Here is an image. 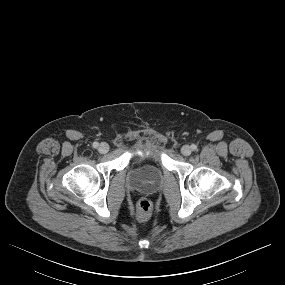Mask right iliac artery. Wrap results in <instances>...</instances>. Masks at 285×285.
Masks as SVG:
<instances>
[{
  "label": "right iliac artery",
  "instance_id": "1",
  "mask_svg": "<svg viewBox=\"0 0 285 285\" xmlns=\"http://www.w3.org/2000/svg\"><path fill=\"white\" fill-rule=\"evenodd\" d=\"M92 146H93V148H97V147L99 146V143H98V142H94V143L92 144Z\"/></svg>",
  "mask_w": 285,
  "mask_h": 285
}]
</instances>
